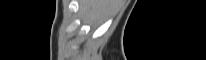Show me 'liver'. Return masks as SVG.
<instances>
[{
    "mask_svg": "<svg viewBox=\"0 0 206 60\" xmlns=\"http://www.w3.org/2000/svg\"><path fill=\"white\" fill-rule=\"evenodd\" d=\"M80 17L84 23L97 26L113 15L119 0H80Z\"/></svg>",
    "mask_w": 206,
    "mask_h": 60,
    "instance_id": "liver-1",
    "label": "liver"
}]
</instances>
